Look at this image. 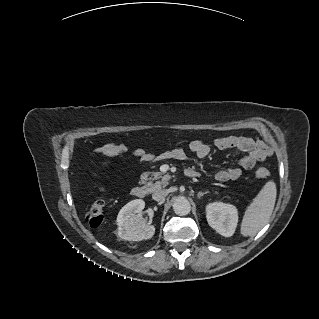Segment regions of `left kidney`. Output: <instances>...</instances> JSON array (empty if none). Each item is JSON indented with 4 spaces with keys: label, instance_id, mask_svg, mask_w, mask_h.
Listing matches in <instances>:
<instances>
[{
    "label": "left kidney",
    "instance_id": "left-kidney-1",
    "mask_svg": "<svg viewBox=\"0 0 319 319\" xmlns=\"http://www.w3.org/2000/svg\"><path fill=\"white\" fill-rule=\"evenodd\" d=\"M207 222L213 229L224 237L234 234L238 223L236 206L221 201L209 203L206 206Z\"/></svg>",
    "mask_w": 319,
    "mask_h": 319
}]
</instances>
